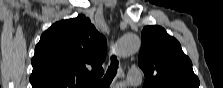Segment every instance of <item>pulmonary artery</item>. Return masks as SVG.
Segmentation results:
<instances>
[{
    "label": "pulmonary artery",
    "instance_id": "e3ab8cb5",
    "mask_svg": "<svg viewBox=\"0 0 223 88\" xmlns=\"http://www.w3.org/2000/svg\"><path fill=\"white\" fill-rule=\"evenodd\" d=\"M141 80H142L141 71L133 68L128 72L126 81H124L120 85L137 86L141 83Z\"/></svg>",
    "mask_w": 223,
    "mask_h": 88
}]
</instances>
